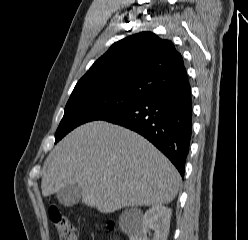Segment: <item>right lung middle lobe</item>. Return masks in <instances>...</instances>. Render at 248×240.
Returning <instances> with one entry per match:
<instances>
[{
  "label": "right lung middle lobe",
  "instance_id": "obj_1",
  "mask_svg": "<svg viewBox=\"0 0 248 240\" xmlns=\"http://www.w3.org/2000/svg\"><path fill=\"white\" fill-rule=\"evenodd\" d=\"M141 96L130 95L112 88H82L73 90L64 116L55 135V143L75 127L93 120H102L138 101Z\"/></svg>",
  "mask_w": 248,
  "mask_h": 240
}]
</instances>
